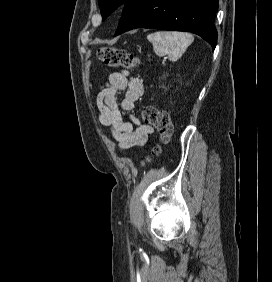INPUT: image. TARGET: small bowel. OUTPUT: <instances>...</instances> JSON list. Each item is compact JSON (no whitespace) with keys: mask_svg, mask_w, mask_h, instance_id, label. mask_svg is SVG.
Returning <instances> with one entry per match:
<instances>
[{"mask_svg":"<svg viewBox=\"0 0 272 282\" xmlns=\"http://www.w3.org/2000/svg\"><path fill=\"white\" fill-rule=\"evenodd\" d=\"M125 91L124 98L118 102L117 93ZM143 94V83L140 78L132 77L127 71L113 72L99 89L96 103L99 110V122L109 127L113 138L122 149H128L146 142L153 128L142 125L137 117L129 115L124 121L123 115L130 112L135 102Z\"/></svg>","mask_w":272,"mask_h":282,"instance_id":"1","label":"small bowel"}]
</instances>
